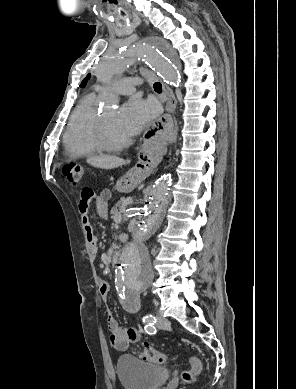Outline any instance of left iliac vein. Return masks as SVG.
Returning <instances> with one entry per match:
<instances>
[{
    "label": "left iliac vein",
    "mask_w": 296,
    "mask_h": 389,
    "mask_svg": "<svg viewBox=\"0 0 296 389\" xmlns=\"http://www.w3.org/2000/svg\"><path fill=\"white\" fill-rule=\"evenodd\" d=\"M170 322L167 318L163 317L162 315L158 314L157 315V327L161 329H165L169 327Z\"/></svg>",
    "instance_id": "4c4485c4"
}]
</instances>
